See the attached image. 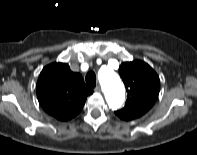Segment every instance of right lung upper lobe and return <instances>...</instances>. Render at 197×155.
Returning <instances> with one entry per match:
<instances>
[{
    "label": "right lung upper lobe",
    "instance_id": "obj_1",
    "mask_svg": "<svg viewBox=\"0 0 197 155\" xmlns=\"http://www.w3.org/2000/svg\"><path fill=\"white\" fill-rule=\"evenodd\" d=\"M37 97L42 108L60 121L75 117L83 108L93 90L79 73H74L65 63L46 66L37 81Z\"/></svg>",
    "mask_w": 197,
    "mask_h": 155
}]
</instances>
